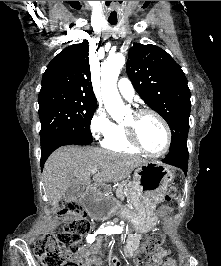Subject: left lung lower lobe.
<instances>
[{
	"label": "left lung lower lobe",
	"instance_id": "obj_1",
	"mask_svg": "<svg viewBox=\"0 0 221 266\" xmlns=\"http://www.w3.org/2000/svg\"><path fill=\"white\" fill-rule=\"evenodd\" d=\"M188 149L187 145L172 149L167 154L166 158L163 160L164 163L173 165L175 167L181 168L184 173H187L188 165Z\"/></svg>",
	"mask_w": 221,
	"mask_h": 266
}]
</instances>
